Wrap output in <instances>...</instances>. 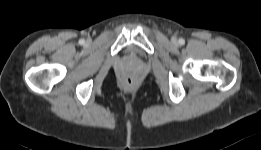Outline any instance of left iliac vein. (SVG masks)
<instances>
[{
  "label": "left iliac vein",
  "instance_id": "1",
  "mask_svg": "<svg viewBox=\"0 0 261 150\" xmlns=\"http://www.w3.org/2000/svg\"><path fill=\"white\" fill-rule=\"evenodd\" d=\"M172 42H173L174 44H176V43H177V39H176L175 37H173V38H172Z\"/></svg>",
  "mask_w": 261,
  "mask_h": 150
}]
</instances>
